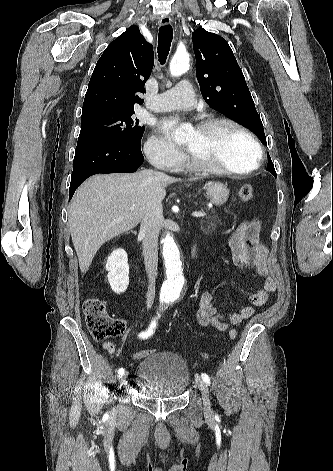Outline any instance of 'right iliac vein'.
Returning a JSON list of instances; mask_svg holds the SVG:
<instances>
[{"mask_svg":"<svg viewBox=\"0 0 333 471\" xmlns=\"http://www.w3.org/2000/svg\"><path fill=\"white\" fill-rule=\"evenodd\" d=\"M127 376H128V372H125L122 376H120L119 378L120 383L125 382Z\"/></svg>","mask_w":333,"mask_h":471,"instance_id":"63e3f726","label":"right iliac vein"}]
</instances>
